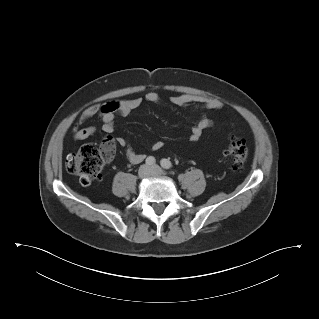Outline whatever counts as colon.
I'll list each match as a JSON object with an SVG mask.
<instances>
[{
    "mask_svg": "<svg viewBox=\"0 0 319 319\" xmlns=\"http://www.w3.org/2000/svg\"><path fill=\"white\" fill-rule=\"evenodd\" d=\"M114 141L106 138L99 146L86 144L66 159L67 170L76 175L81 184L89 185L98 180L104 164L111 158ZM231 168L241 170L248 157V147L243 139L232 136L224 152Z\"/></svg>",
    "mask_w": 319,
    "mask_h": 319,
    "instance_id": "colon-1",
    "label": "colon"
}]
</instances>
